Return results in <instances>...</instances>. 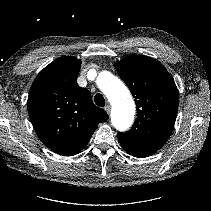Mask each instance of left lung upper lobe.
Masks as SVG:
<instances>
[{
    "instance_id": "obj_1",
    "label": "left lung upper lobe",
    "mask_w": 211,
    "mask_h": 211,
    "mask_svg": "<svg viewBox=\"0 0 211 211\" xmlns=\"http://www.w3.org/2000/svg\"><path fill=\"white\" fill-rule=\"evenodd\" d=\"M127 84L137 107V119L126 138L165 143L177 117L179 95L172 76L159 62L143 55H131L114 64Z\"/></svg>"
}]
</instances>
